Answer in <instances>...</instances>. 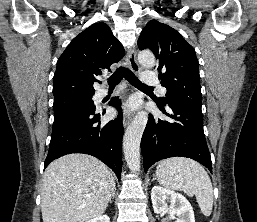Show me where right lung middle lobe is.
Listing matches in <instances>:
<instances>
[{
	"label": "right lung middle lobe",
	"instance_id": "dd1d6c3e",
	"mask_svg": "<svg viewBox=\"0 0 257 222\" xmlns=\"http://www.w3.org/2000/svg\"><path fill=\"white\" fill-rule=\"evenodd\" d=\"M54 120L72 113H91L95 112V105L92 96L73 98L54 102Z\"/></svg>",
	"mask_w": 257,
	"mask_h": 222
}]
</instances>
